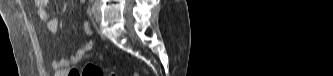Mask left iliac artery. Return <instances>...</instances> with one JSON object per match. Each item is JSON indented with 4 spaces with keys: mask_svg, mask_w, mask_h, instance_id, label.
Wrapping results in <instances>:
<instances>
[{
    "mask_svg": "<svg viewBox=\"0 0 333 76\" xmlns=\"http://www.w3.org/2000/svg\"><path fill=\"white\" fill-rule=\"evenodd\" d=\"M96 5H97V1H95V3L93 4L92 9H91V12H94V11H95Z\"/></svg>",
    "mask_w": 333,
    "mask_h": 76,
    "instance_id": "1",
    "label": "left iliac artery"
}]
</instances>
